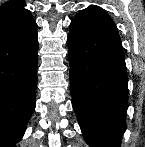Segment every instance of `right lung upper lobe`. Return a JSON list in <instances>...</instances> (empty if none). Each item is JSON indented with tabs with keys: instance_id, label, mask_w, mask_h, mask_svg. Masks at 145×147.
Listing matches in <instances>:
<instances>
[{
	"instance_id": "obj_1",
	"label": "right lung upper lobe",
	"mask_w": 145,
	"mask_h": 147,
	"mask_svg": "<svg viewBox=\"0 0 145 147\" xmlns=\"http://www.w3.org/2000/svg\"><path fill=\"white\" fill-rule=\"evenodd\" d=\"M23 0H11L0 6V39L36 23Z\"/></svg>"
}]
</instances>
